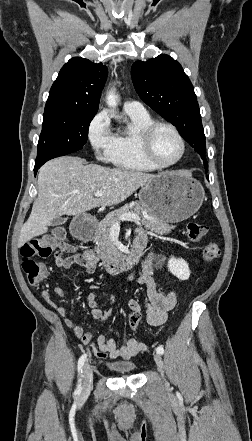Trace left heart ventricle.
<instances>
[{
	"label": "left heart ventricle",
	"instance_id": "b2bd125f",
	"mask_svg": "<svg viewBox=\"0 0 252 441\" xmlns=\"http://www.w3.org/2000/svg\"><path fill=\"white\" fill-rule=\"evenodd\" d=\"M153 152L158 161L169 163L181 153V144L172 131L159 128L153 138Z\"/></svg>",
	"mask_w": 252,
	"mask_h": 441
}]
</instances>
